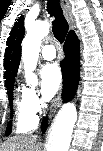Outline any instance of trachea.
Instances as JSON below:
<instances>
[{
	"label": "trachea",
	"instance_id": "1",
	"mask_svg": "<svg viewBox=\"0 0 103 151\" xmlns=\"http://www.w3.org/2000/svg\"><path fill=\"white\" fill-rule=\"evenodd\" d=\"M47 11L51 16L55 17L52 31L55 38L62 43L68 32V24L63 16L59 0H48Z\"/></svg>",
	"mask_w": 103,
	"mask_h": 151
}]
</instances>
